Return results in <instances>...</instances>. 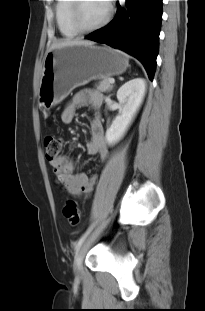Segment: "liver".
Here are the masks:
<instances>
[{
  "label": "liver",
  "mask_w": 205,
  "mask_h": 311,
  "mask_svg": "<svg viewBox=\"0 0 205 311\" xmlns=\"http://www.w3.org/2000/svg\"><path fill=\"white\" fill-rule=\"evenodd\" d=\"M93 41H88V40H81V39H64L60 41L54 42L49 51L55 48H60L68 45H93Z\"/></svg>",
  "instance_id": "liver-1"
}]
</instances>
